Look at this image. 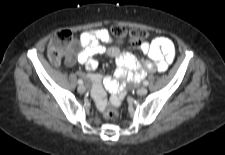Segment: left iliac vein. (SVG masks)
I'll list each match as a JSON object with an SVG mask.
<instances>
[{"label":"left iliac vein","instance_id":"obj_1","mask_svg":"<svg viewBox=\"0 0 225 155\" xmlns=\"http://www.w3.org/2000/svg\"><path fill=\"white\" fill-rule=\"evenodd\" d=\"M147 92H148V90H147L146 87H141V88L138 89L137 94L140 95V96H144V95L147 94Z\"/></svg>","mask_w":225,"mask_h":155}]
</instances>
